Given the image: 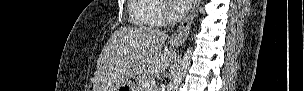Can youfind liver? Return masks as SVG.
Returning <instances> with one entry per match:
<instances>
[{"label":"liver","mask_w":304,"mask_h":91,"mask_svg":"<svg viewBox=\"0 0 304 91\" xmlns=\"http://www.w3.org/2000/svg\"><path fill=\"white\" fill-rule=\"evenodd\" d=\"M166 39L151 27L116 30L99 55L93 91H117L130 78L164 72L172 62L171 48L162 50Z\"/></svg>","instance_id":"obj_1"}]
</instances>
